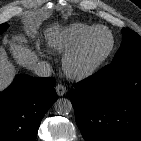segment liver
<instances>
[{"instance_id":"1","label":"liver","mask_w":141,"mask_h":141,"mask_svg":"<svg viewBox=\"0 0 141 141\" xmlns=\"http://www.w3.org/2000/svg\"><path fill=\"white\" fill-rule=\"evenodd\" d=\"M25 31L27 34H32L35 31V26L32 21L25 22ZM60 33V26L55 24L49 29L47 37H58ZM7 42V40H5ZM24 38L22 36H16L10 41V49L19 66L32 69L38 61L37 55L23 45ZM14 66L8 61L5 50L0 47V91L5 89L13 80Z\"/></svg>"}]
</instances>
